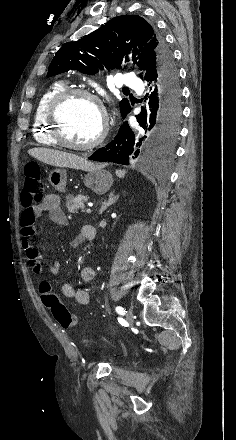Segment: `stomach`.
Here are the masks:
<instances>
[{"mask_svg": "<svg viewBox=\"0 0 236 440\" xmlns=\"http://www.w3.org/2000/svg\"><path fill=\"white\" fill-rule=\"evenodd\" d=\"M49 182L59 192H64L67 182L66 170L56 168L49 173ZM84 184L97 194L106 193L113 184L112 174L103 167L97 166L84 176Z\"/></svg>", "mask_w": 236, "mask_h": 440, "instance_id": "1", "label": "stomach"}]
</instances>
